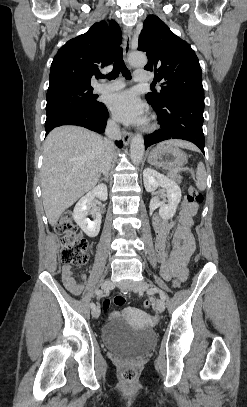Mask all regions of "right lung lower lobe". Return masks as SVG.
<instances>
[{
    "instance_id": "1",
    "label": "right lung lower lobe",
    "mask_w": 247,
    "mask_h": 407,
    "mask_svg": "<svg viewBox=\"0 0 247 407\" xmlns=\"http://www.w3.org/2000/svg\"><path fill=\"white\" fill-rule=\"evenodd\" d=\"M45 130L46 135L55 127L61 125H78L98 133H104L108 111L105 105L100 103L96 108H84L68 106L46 111ZM120 148L122 141H115Z\"/></svg>"
}]
</instances>
